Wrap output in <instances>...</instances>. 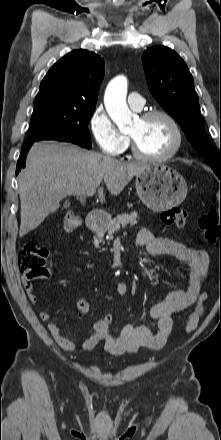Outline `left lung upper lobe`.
I'll return each instance as SVG.
<instances>
[{
  "mask_svg": "<svg viewBox=\"0 0 221 440\" xmlns=\"http://www.w3.org/2000/svg\"><path fill=\"white\" fill-rule=\"evenodd\" d=\"M147 85L156 101L181 126L189 142L221 173V154L215 151L204 127L193 77L184 60L165 46L144 51Z\"/></svg>",
  "mask_w": 221,
  "mask_h": 440,
  "instance_id": "left-lung-upper-lobe-1",
  "label": "left lung upper lobe"
}]
</instances>
